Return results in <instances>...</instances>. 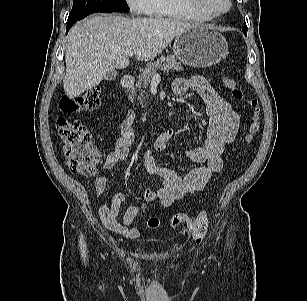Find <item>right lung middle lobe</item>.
Returning a JSON list of instances; mask_svg holds the SVG:
<instances>
[{"label": "right lung middle lobe", "instance_id": "dd1d6c3e", "mask_svg": "<svg viewBox=\"0 0 307 301\" xmlns=\"http://www.w3.org/2000/svg\"><path fill=\"white\" fill-rule=\"evenodd\" d=\"M125 0H73L67 22L78 21L96 12H127Z\"/></svg>", "mask_w": 307, "mask_h": 301}]
</instances>
